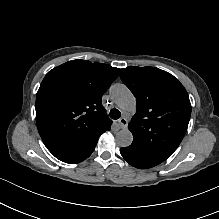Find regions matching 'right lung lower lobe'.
<instances>
[{"mask_svg": "<svg viewBox=\"0 0 219 219\" xmlns=\"http://www.w3.org/2000/svg\"><path fill=\"white\" fill-rule=\"evenodd\" d=\"M98 142V141H97ZM97 142L84 149H79V150H62V151H51V153L59 160L65 162V163H70V164H75L79 163L86 158H88L91 153L93 152Z\"/></svg>", "mask_w": 219, "mask_h": 219, "instance_id": "obj_1", "label": "right lung lower lobe"}]
</instances>
